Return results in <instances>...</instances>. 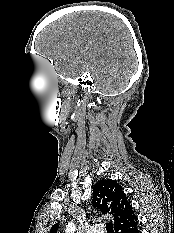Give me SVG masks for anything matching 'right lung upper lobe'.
Masks as SVG:
<instances>
[{
	"label": "right lung upper lobe",
	"mask_w": 174,
	"mask_h": 233,
	"mask_svg": "<svg viewBox=\"0 0 174 233\" xmlns=\"http://www.w3.org/2000/svg\"><path fill=\"white\" fill-rule=\"evenodd\" d=\"M92 204L102 214H111L114 217L116 233H124L138 223L126 194L114 180H100L93 187ZM58 224L51 227L50 233H57Z\"/></svg>",
	"instance_id": "cb5924a9"
}]
</instances>
